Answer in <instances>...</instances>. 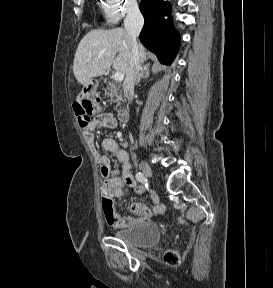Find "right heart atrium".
I'll use <instances>...</instances> for the list:
<instances>
[{
    "mask_svg": "<svg viewBox=\"0 0 273 288\" xmlns=\"http://www.w3.org/2000/svg\"><path fill=\"white\" fill-rule=\"evenodd\" d=\"M100 4L104 17L110 24H116L125 15L138 11L135 0H100Z\"/></svg>",
    "mask_w": 273,
    "mask_h": 288,
    "instance_id": "1",
    "label": "right heart atrium"
}]
</instances>
